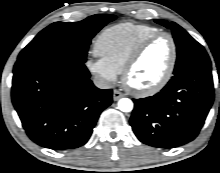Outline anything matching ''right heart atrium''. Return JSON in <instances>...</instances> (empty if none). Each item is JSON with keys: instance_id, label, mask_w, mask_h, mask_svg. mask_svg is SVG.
Here are the masks:
<instances>
[{"instance_id": "d8ad5b80", "label": "right heart atrium", "mask_w": 220, "mask_h": 173, "mask_svg": "<svg viewBox=\"0 0 220 173\" xmlns=\"http://www.w3.org/2000/svg\"><path fill=\"white\" fill-rule=\"evenodd\" d=\"M87 65L91 72L98 75L104 82L113 83L116 81L118 73L101 58H90Z\"/></svg>"}]
</instances>
